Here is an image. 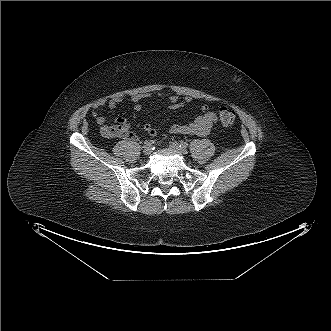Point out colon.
Instances as JSON below:
<instances>
[{"instance_id":"colon-1","label":"colon","mask_w":331,"mask_h":331,"mask_svg":"<svg viewBox=\"0 0 331 331\" xmlns=\"http://www.w3.org/2000/svg\"><path fill=\"white\" fill-rule=\"evenodd\" d=\"M217 115L224 126H231L235 121V112L229 107L222 106L218 108Z\"/></svg>"}]
</instances>
